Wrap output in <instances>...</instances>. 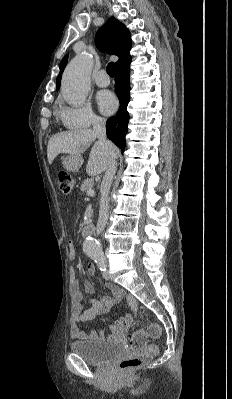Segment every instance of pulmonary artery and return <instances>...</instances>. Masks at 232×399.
Returning a JSON list of instances; mask_svg holds the SVG:
<instances>
[{
  "mask_svg": "<svg viewBox=\"0 0 232 399\" xmlns=\"http://www.w3.org/2000/svg\"><path fill=\"white\" fill-rule=\"evenodd\" d=\"M94 83H97V90H106L109 83V77H106L105 71L103 69L97 70V77H94Z\"/></svg>",
  "mask_w": 232,
  "mask_h": 399,
  "instance_id": "pulmonary-artery-1",
  "label": "pulmonary artery"
}]
</instances>
